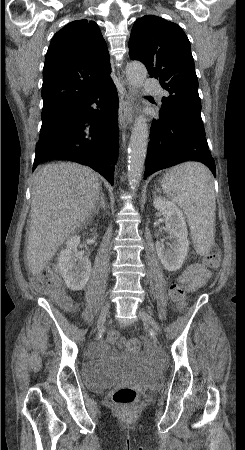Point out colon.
<instances>
[{"mask_svg":"<svg viewBox=\"0 0 245 450\" xmlns=\"http://www.w3.org/2000/svg\"><path fill=\"white\" fill-rule=\"evenodd\" d=\"M220 255L216 249L210 250L206 253L200 262L203 266L213 269L219 264ZM36 288L39 292L49 295L55 301L61 303L64 309H69L70 303L64 295L63 290L59 284L58 276L50 271H44L36 281ZM168 295L173 304L178 308L183 309L187 304V293L183 284L172 283L168 290ZM110 342L118 348H126L128 343L125 338L120 337L117 333L109 334ZM132 349H137L139 344L133 342L130 344ZM137 391L128 386H121L114 390L112 400L120 412H128V410L135 403L137 398Z\"/></svg>","mask_w":245,"mask_h":450,"instance_id":"1","label":"colon"}]
</instances>
